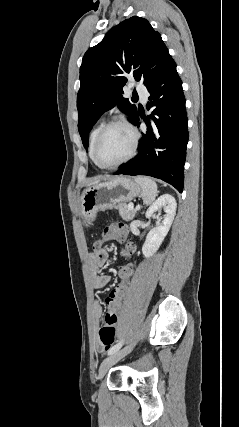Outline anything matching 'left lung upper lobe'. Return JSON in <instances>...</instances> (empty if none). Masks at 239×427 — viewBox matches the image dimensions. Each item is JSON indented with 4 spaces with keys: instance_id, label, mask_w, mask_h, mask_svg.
Returning a JSON list of instances; mask_svg holds the SVG:
<instances>
[{
    "instance_id": "left-lung-upper-lobe-1",
    "label": "left lung upper lobe",
    "mask_w": 239,
    "mask_h": 427,
    "mask_svg": "<svg viewBox=\"0 0 239 427\" xmlns=\"http://www.w3.org/2000/svg\"><path fill=\"white\" fill-rule=\"evenodd\" d=\"M172 61L161 35L138 16L122 21L88 49L80 67L77 95L78 130L84 147H88L89 132L105 111L117 106L131 117L130 122L136 117L133 99L122 97L128 75L147 86Z\"/></svg>"
}]
</instances>
